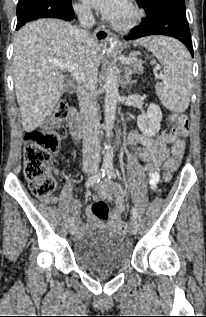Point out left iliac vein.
<instances>
[{
	"instance_id": "left-iliac-vein-1",
	"label": "left iliac vein",
	"mask_w": 206,
	"mask_h": 317,
	"mask_svg": "<svg viewBox=\"0 0 206 317\" xmlns=\"http://www.w3.org/2000/svg\"><path fill=\"white\" fill-rule=\"evenodd\" d=\"M130 231L133 235H135L138 232V222L135 218L131 221Z\"/></svg>"
}]
</instances>
